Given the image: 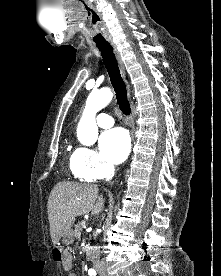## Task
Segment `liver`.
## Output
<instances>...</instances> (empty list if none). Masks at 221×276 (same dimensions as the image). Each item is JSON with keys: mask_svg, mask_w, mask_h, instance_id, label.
Segmentation results:
<instances>
[{"mask_svg": "<svg viewBox=\"0 0 221 276\" xmlns=\"http://www.w3.org/2000/svg\"><path fill=\"white\" fill-rule=\"evenodd\" d=\"M98 193V187L91 184L62 182L54 186L47 204L53 244L71 230L77 216L89 212L98 214L103 210L104 199Z\"/></svg>", "mask_w": 221, "mask_h": 276, "instance_id": "obj_1", "label": "liver"}]
</instances>
